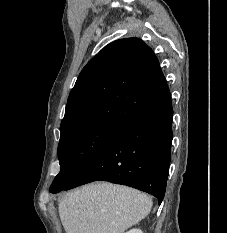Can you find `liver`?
Instances as JSON below:
<instances>
[{"label":"liver","instance_id":"1","mask_svg":"<svg viewBox=\"0 0 227 233\" xmlns=\"http://www.w3.org/2000/svg\"><path fill=\"white\" fill-rule=\"evenodd\" d=\"M151 208L152 200L145 193L107 182L67 193L58 207L66 233H124Z\"/></svg>","mask_w":227,"mask_h":233}]
</instances>
